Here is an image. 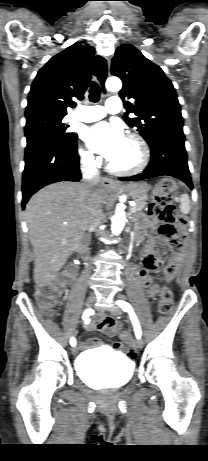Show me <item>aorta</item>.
I'll return each instance as SVG.
<instances>
[{
    "label": "aorta",
    "mask_w": 208,
    "mask_h": 461,
    "mask_svg": "<svg viewBox=\"0 0 208 461\" xmlns=\"http://www.w3.org/2000/svg\"><path fill=\"white\" fill-rule=\"evenodd\" d=\"M106 89L111 92H118L122 88V82L117 77H110L106 81ZM126 222V213L123 204H117L115 214L112 217L111 231L113 235H119Z\"/></svg>",
    "instance_id": "762f6f07"
}]
</instances>
